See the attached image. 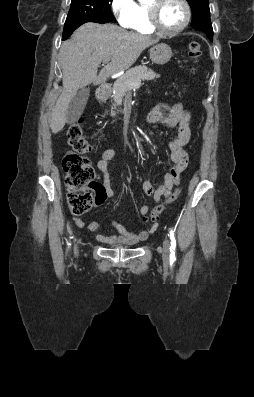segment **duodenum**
Instances as JSON below:
<instances>
[{"mask_svg":"<svg viewBox=\"0 0 254 397\" xmlns=\"http://www.w3.org/2000/svg\"><path fill=\"white\" fill-rule=\"evenodd\" d=\"M107 93V86L106 85H102L101 87H99L97 94L99 97H104Z\"/></svg>","mask_w":254,"mask_h":397,"instance_id":"410a0bca","label":"duodenum"}]
</instances>
